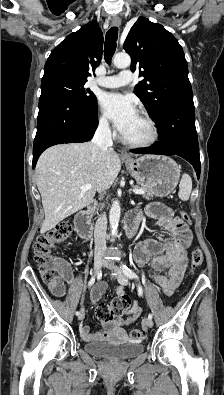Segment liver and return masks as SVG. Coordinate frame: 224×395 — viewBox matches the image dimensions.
<instances>
[{
    "label": "liver",
    "mask_w": 224,
    "mask_h": 395,
    "mask_svg": "<svg viewBox=\"0 0 224 395\" xmlns=\"http://www.w3.org/2000/svg\"><path fill=\"white\" fill-rule=\"evenodd\" d=\"M121 170L119 155L109 150L103 158L93 142L56 145L45 150L36 166V184L45 219L41 233L86 207L96 191L110 187ZM92 185L83 191L82 186Z\"/></svg>",
    "instance_id": "obj_1"
}]
</instances>
